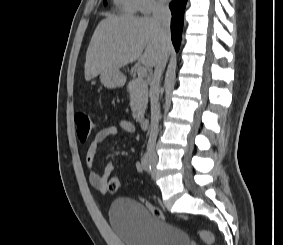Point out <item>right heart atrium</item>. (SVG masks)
I'll list each match as a JSON object with an SVG mask.
<instances>
[{
  "label": "right heart atrium",
  "instance_id": "right-heart-atrium-1",
  "mask_svg": "<svg viewBox=\"0 0 283 245\" xmlns=\"http://www.w3.org/2000/svg\"><path fill=\"white\" fill-rule=\"evenodd\" d=\"M163 0H135L136 8L143 14H150L162 6Z\"/></svg>",
  "mask_w": 283,
  "mask_h": 245
}]
</instances>
